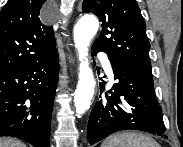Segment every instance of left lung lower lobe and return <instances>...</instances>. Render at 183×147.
Segmentation results:
<instances>
[{
    "label": "left lung lower lobe",
    "instance_id": "left-lung-lower-lobe-1",
    "mask_svg": "<svg viewBox=\"0 0 183 147\" xmlns=\"http://www.w3.org/2000/svg\"><path fill=\"white\" fill-rule=\"evenodd\" d=\"M99 51L92 47L93 56ZM109 60L118 82L109 91L111 96L106 94L91 111L87 130L89 144L122 130L164 134L166 128L162 109L155 98L152 74L112 58ZM104 83H100L101 92Z\"/></svg>",
    "mask_w": 183,
    "mask_h": 147
}]
</instances>
